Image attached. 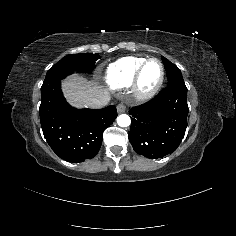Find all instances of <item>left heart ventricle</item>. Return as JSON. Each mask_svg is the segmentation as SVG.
<instances>
[{"label":"left heart ventricle","mask_w":236,"mask_h":236,"mask_svg":"<svg viewBox=\"0 0 236 236\" xmlns=\"http://www.w3.org/2000/svg\"><path fill=\"white\" fill-rule=\"evenodd\" d=\"M162 75V67L156 62H150L142 73L139 87L142 91L147 92L152 90L159 82Z\"/></svg>","instance_id":"obj_1"}]
</instances>
